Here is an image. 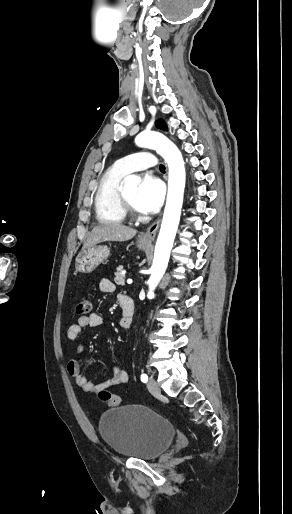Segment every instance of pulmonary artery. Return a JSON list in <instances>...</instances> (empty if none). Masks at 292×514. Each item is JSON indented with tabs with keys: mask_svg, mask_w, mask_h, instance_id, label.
<instances>
[{
	"mask_svg": "<svg viewBox=\"0 0 292 514\" xmlns=\"http://www.w3.org/2000/svg\"><path fill=\"white\" fill-rule=\"evenodd\" d=\"M151 156L150 151L133 150L129 154L132 161L127 156H122L119 161L114 162L113 169L123 175H128L131 172L154 171L158 168V165L156 164L157 160L155 158L151 159Z\"/></svg>",
	"mask_w": 292,
	"mask_h": 514,
	"instance_id": "1",
	"label": "pulmonary artery"
}]
</instances>
